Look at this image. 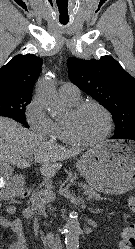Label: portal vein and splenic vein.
<instances>
[{"mask_svg":"<svg viewBox=\"0 0 135 249\" xmlns=\"http://www.w3.org/2000/svg\"><path fill=\"white\" fill-rule=\"evenodd\" d=\"M49 198H50L51 201L55 199V195H54L53 192L49 193Z\"/></svg>","mask_w":135,"mask_h":249,"instance_id":"portal-vein-and-splenic-vein-1","label":"portal vein and splenic vein"}]
</instances>
